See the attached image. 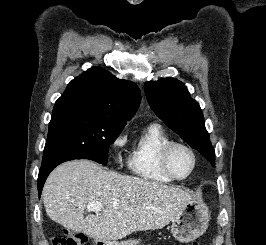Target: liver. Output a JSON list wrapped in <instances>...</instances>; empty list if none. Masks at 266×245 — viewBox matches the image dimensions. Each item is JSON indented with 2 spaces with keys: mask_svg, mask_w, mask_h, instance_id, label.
I'll list each match as a JSON object with an SVG mask.
<instances>
[{
  "mask_svg": "<svg viewBox=\"0 0 266 245\" xmlns=\"http://www.w3.org/2000/svg\"><path fill=\"white\" fill-rule=\"evenodd\" d=\"M42 197L51 221L98 241L162 229L193 203L182 189L104 171L92 161H68L54 169ZM88 203H101L102 213L84 217Z\"/></svg>",
  "mask_w": 266,
  "mask_h": 245,
  "instance_id": "6515ba94",
  "label": "liver"
}]
</instances>
